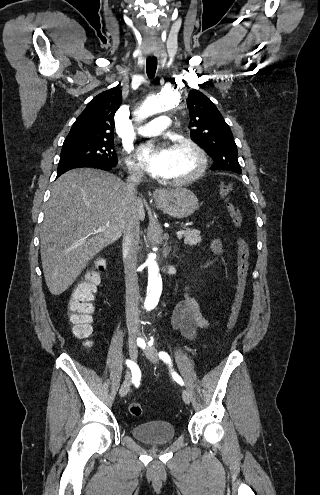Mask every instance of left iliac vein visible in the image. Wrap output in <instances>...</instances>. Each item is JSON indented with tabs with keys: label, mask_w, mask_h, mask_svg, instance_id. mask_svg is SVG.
Listing matches in <instances>:
<instances>
[{
	"label": "left iliac vein",
	"mask_w": 320,
	"mask_h": 495,
	"mask_svg": "<svg viewBox=\"0 0 320 495\" xmlns=\"http://www.w3.org/2000/svg\"><path fill=\"white\" fill-rule=\"evenodd\" d=\"M143 352L145 356L154 364H157L159 362L158 351L155 347L153 346L146 347ZM182 398L186 404H190L191 394L187 389H183Z\"/></svg>",
	"instance_id": "left-iliac-vein-1"
}]
</instances>
